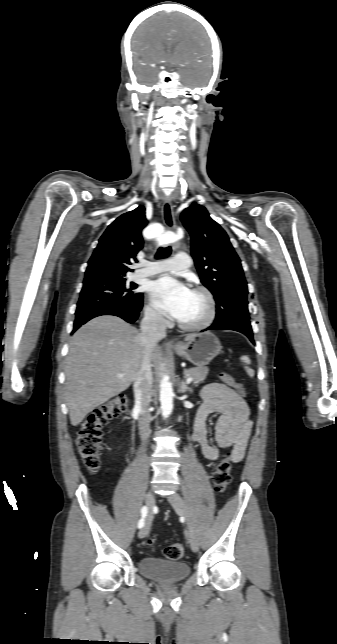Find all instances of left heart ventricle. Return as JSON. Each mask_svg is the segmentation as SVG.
Listing matches in <instances>:
<instances>
[{"mask_svg": "<svg viewBox=\"0 0 337 644\" xmlns=\"http://www.w3.org/2000/svg\"><path fill=\"white\" fill-rule=\"evenodd\" d=\"M207 312L205 299L197 293L192 292L188 303L178 319L181 322L192 324L201 321Z\"/></svg>", "mask_w": 337, "mask_h": 644, "instance_id": "left-heart-ventricle-1", "label": "left heart ventricle"}]
</instances>
